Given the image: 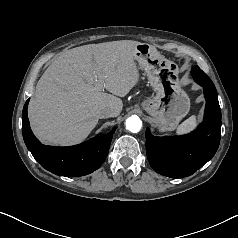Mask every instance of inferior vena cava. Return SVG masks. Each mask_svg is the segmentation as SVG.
<instances>
[{
    "label": "inferior vena cava",
    "instance_id": "obj_1",
    "mask_svg": "<svg viewBox=\"0 0 238 238\" xmlns=\"http://www.w3.org/2000/svg\"><path fill=\"white\" fill-rule=\"evenodd\" d=\"M112 115H113V111L112 109L108 107L102 108L98 111L99 118H109V117H112Z\"/></svg>",
    "mask_w": 238,
    "mask_h": 238
}]
</instances>
